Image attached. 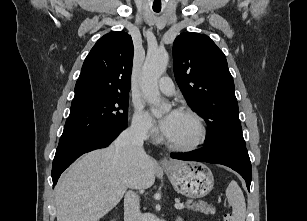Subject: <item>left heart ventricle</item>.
I'll list each match as a JSON object with an SVG mask.
<instances>
[{"label": "left heart ventricle", "instance_id": "1", "mask_svg": "<svg viewBox=\"0 0 307 221\" xmlns=\"http://www.w3.org/2000/svg\"><path fill=\"white\" fill-rule=\"evenodd\" d=\"M197 134L198 127L194 119L179 113L167 139L172 143L184 144L193 141Z\"/></svg>", "mask_w": 307, "mask_h": 221}]
</instances>
